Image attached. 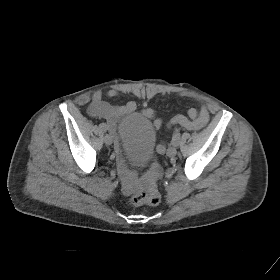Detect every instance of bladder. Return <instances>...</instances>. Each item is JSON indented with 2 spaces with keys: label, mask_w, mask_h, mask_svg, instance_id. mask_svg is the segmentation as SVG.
<instances>
[{
  "label": "bladder",
  "mask_w": 280,
  "mask_h": 280,
  "mask_svg": "<svg viewBox=\"0 0 280 280\" xmlns=\"http://www.w3.org/2000/svg\"><path fill=\"white\" fill-rule=\"evenodd\" d=\"M124 157L134 167H142L152 157L156 144V130L145 116L133 113L124 117L117 128Z\"/></svg>",
  "instance_id": "1"
}]
</instances>
